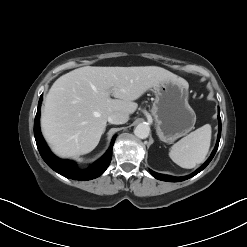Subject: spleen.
<instances>
[{
    "mask_svg": "<svg viewBox=\"0 0 247 247\" xmlns=\"http://www.w3.org/2000/svg\"><path fill=\"white\" fill-rule=\"evenodd\" d=\"M211 126L205 124L175 143L169 157L182 168L191 169L202 163L209 151Z\"/></svg>",
    "mask_w": 247,
    "mask_h": 247,
    "instance_id": "obj_1",
    "label": "spleen"
}]
</instances>
